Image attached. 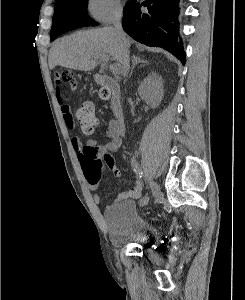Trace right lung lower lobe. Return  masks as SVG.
Instances as JSON below:
<instances>
[{"mask_svg":"<svg viewBox=\"0 0 245 300\" xmlns=\"http://www.w3.org/2000/svg\"><path fill=\"white\" fill-rule=\"evenodd\" d=\"M124 9L123 29L136 41L148 46H158L172 53L183 64L185 52L179 36V0H147ZM58 36L80 27L76 21L61 20L57 23Z\"/></svg>","mask_w":245,"mask_h":300,"instance_id":"1","label":"right lung lower lobe"}]
</instances>
